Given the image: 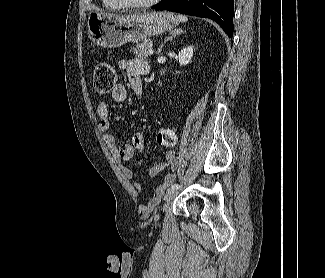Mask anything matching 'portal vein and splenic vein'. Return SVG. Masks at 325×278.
<instances>
[{"label": "portal vein and splenic vein", "mask_w": 325, "mask_h": 278, "mask_svg": "<svg viewBox=\"0 0 325 278\" xmlns=\"http://www.w3.org/2000/svg\"><path fill=\"white\" fill-rule=\"evenodd\" d=\"M148 54L153 55V49L152 48L148 49Z\"/></svg>", "instance_id": "obj_1"}]
</instances>
